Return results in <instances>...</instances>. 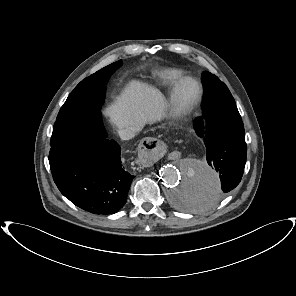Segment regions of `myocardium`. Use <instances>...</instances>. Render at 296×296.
Wrapping results in <instances>:
<instances>
[{
	"mask_svg": "<svg viewBox=\"0 0 296 296\" xmlns=\"http://www.w3.org/2000/svg\"><path fill=\"white\" fill-rule=\"evenodd\" d=\"M192 83L195 86V93L190 97L182 96V88L185 84ZM202 87L199 81L191 76H184L176 81L170 92V102L176 112H185L191 109L201 98Z\"/></svg>",
	"mask_w": 296,
	"mask_h": 296,
	"instance_id": "obj_1",
	"label": "myocardium"
}]
</instances>
